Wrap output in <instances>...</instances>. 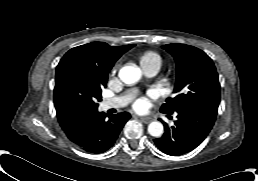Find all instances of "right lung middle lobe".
I'll list each match as a JSON object with an SVG mask.
<instances>
[{
  "instance_id": "right-lung-middle-lobe-1",
  "label": "right lung middle lobe",
  "mask_w": 258,
  "mask_h": 181,
  "mask_svg": "<svg viewBox=\"0 0 258 181\" xmlns=\"http://www.w3.org/2000/svg\"><path fill=\"white\" fill-rule=\"evenodd\" d=\"M106 81L95 77L76 59L63 61L56 69L54 88L56 110L67 107L97 109Z\"/></svg>"
}]
</instances>
